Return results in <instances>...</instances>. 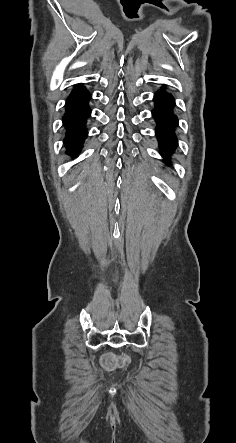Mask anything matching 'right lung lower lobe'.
<instances>
[{
	"label": "right lung lower lobe",
	"instance_id": "1",
	"mask_svg": "<svg viewBox=\"0 0 236 443\" xmlns=\"http://www.w3.org/2000/svg\"><path fill=\"white\" fill-rule=\"evenodd\" d=\"M90 99L89 91L82 84H79L72 89L66 100V111L63 116V125L66 130L64 145L67 154L72 157L77 156L87 137L86 121L91 113L88 106Z\"/></svg>",
	"mask_w": 236,
	"mask_h": 443
}]
</instances>
